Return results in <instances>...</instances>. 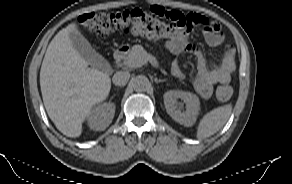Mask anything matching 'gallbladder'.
<instances>
[{
	"label": "gallbladder",
	"instance_id": "gallbladder-1",
	"mask_svg": "<svg viewBox=\"0 0 292 184\" xmlns=\"http://www.w3.org/2000/svg\"><path fill=\"white\" fill-rule=\"evenodd\" d=\"M69 37L74 49L84 60L93 67L105 70L107 65L106 60L92 48L91 44L84 36L76 32H71Z\"/></svg>",
	"mask_w": 292,
	"mask_h": 184
}]
</instances>
